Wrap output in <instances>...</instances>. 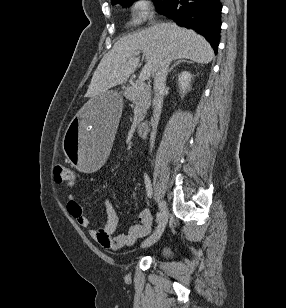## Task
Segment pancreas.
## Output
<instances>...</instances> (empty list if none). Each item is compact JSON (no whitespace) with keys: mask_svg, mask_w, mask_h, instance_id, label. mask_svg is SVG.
<instances>
[{"mask_svg":"<svg viewBox=\"0 0 286 308\" xmlns=\"http://www.w3.org/2000/svg\"><path fill=\"white\" fill-rule=\"evenodd\" d=\"M123 95L129 101H132L138 107L137 124H140L151 105V88L143 81L138 80L126 87Z\"/></svg>","mask_w":286,"mask_h":308,"instance_id":"obj_1","label":"pancreas"}]
</instances>
